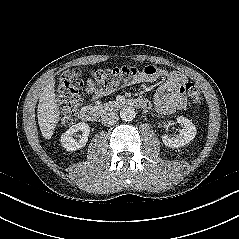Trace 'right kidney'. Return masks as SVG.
Listing matches in <instances>:
<instances>
[{
    "mask_svg": "<svg viewBox=\"0 0 239 239\" xmlns=\"http://www.w3.org/2000/svg\"><path fill=\"white\" fill-rule=\"evenodd\" d=\"M82 131V135H80V139H74V135ZM90 133V127L88 124L80 122L71 126L64 134L61 136V143L62 146L68 151H75L85 147L88 136Z\"/></svg>",
    "mask_w": 239,
    "mask_h": 239,
    "instance_id": "ca27d5eb",
    "label": "right kidney"
}]
</instances>
